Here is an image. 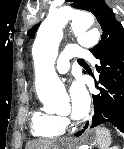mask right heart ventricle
I'll use <instances>...</instances> for the list:
<instances>
[{
  "label": "right heart ventricle",
  "mask_w": 124,
  "mask_h": 149,
  "mask_svg": "<svg viewBox=\"0 0 124 149\" xmlns=\"http://www.w3.org/2000/svg\"><path fill=\"white\" fill-rule=\"evenodd\" d=\"M29 126L31 134L43 141L54 140L65 132V122L61 117L40 108L32 111Z\"/></svg>",
  "instance_id": "1"
}]
</instances>
